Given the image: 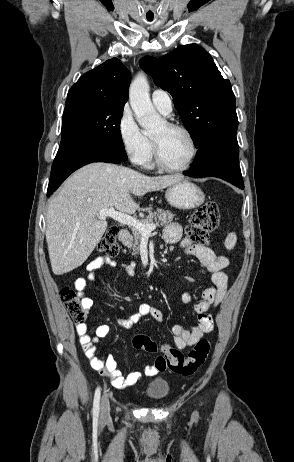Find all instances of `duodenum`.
I'll return each instance as SVG.
<instances>
[{"mask_svg": "<svg viewBox=\"0 0 294 462\" xmlns=\"http://www.w3.org/2000/svg\"><path fill=\"white\" fill-rule=\"evenodd\" d=\"M128 238H129V231H128V229L123 228V229H121V230L118 232V239H119L121 242L127 241Z\"/></svg>", "mask_w": 294, "mask_h": 462, "instance_id": "1", "label": "duodenum"}]
</instances>
